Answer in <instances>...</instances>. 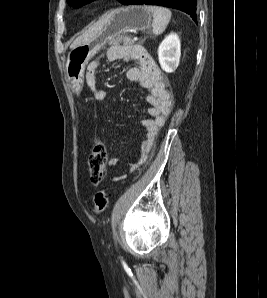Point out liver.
I'll return each instance as SVG.
<instances>
[{"label":"liver","instance_id":"1","mask_svg":"<svg viewBox=\"0 0 267 298\" xmlns=\"http://www.w3.org/2000/svg\"><path fill=\"white\" fill-rule=\"evenodd\" d=\"M110 16H105L94 23L91 27L88 28L82 35L77 37L74 42L71 44L70 48H75L83 43L90 41L94 36H96L109 21Z\"/></svg>","mask_w":267,"mask_h":298}]
</instances>
